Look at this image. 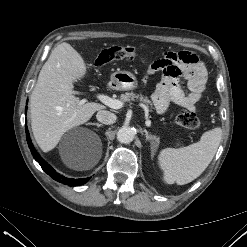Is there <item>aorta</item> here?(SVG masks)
Wrapping results in <instances>:
<instances>
[{
	"label": "aorta",
	"mask_w": 247,
	"mask_h": 247,
	"mask_svg": "<svg viewBox=\"0 0 247 247\" xmlns=\"http://www.w3.org/2000/svg\"><path fill=\"white\" fill-rule=\"evenodd\" d=\"M135 133L134 128L130 126H123L117 132V140L120 143L128 144L133 141Z\"/></svg>",
	"instance_id": "762f6f07"
}]
</instances>
